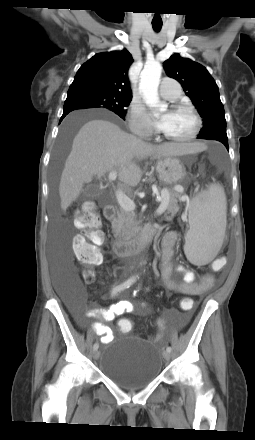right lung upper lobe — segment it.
<instances>
[{
  "label": "right lung upper lobe",
  "mask_w": 255,
  "mask_h": 440,
  "mask_svg": "<svg viewBox=\"0 0 255 440\" xmlns=\"http://www.w3.org/2000/svg\"><path fill=\"white\" fill-rule=\"evenodd\" d=\"M132 62V55L126 49L94 55L78 70L68 95L102 92L132 96L128 79Z\"/></svg>",
  "instance_id": "cb5924a9"
}]
</instances>
